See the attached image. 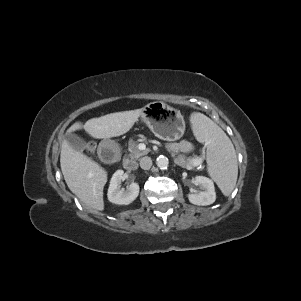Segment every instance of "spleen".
Returning <instances> with one entry per match:
<instances>
[{
  "label": "spleen",
  "instance_id": "1",
  "mask_svg": "<svg viewBox=\"0 0 301 301\" xmlns=\"http://www.w3.org/2000/svg\"><path fill=\"white\" fill-rule=\"evenodd\" d=\"M190 122L197 139L207 147L210 177L222 193L229 196L238 176L237 156L231 140L216 123L202 113H192Z\"/></svg>",
  "mask_w": 301,
  "mask_h": 301
}]
</instances>
